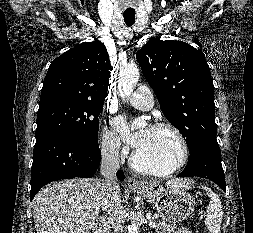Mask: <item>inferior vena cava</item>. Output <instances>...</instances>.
<instances>
[{
	"label": "inferior vena cava",
	"mask_w": 253,
	"mask_h": 233,
	"mask_svg": "<svg viewBox=\"0 0 253 233\" xmlns=\"http://www.w3.org/2000/svg\"><path fill=\"white\" fill-rule=\"evenodd\" d=\"M101 168L103 175L101 182V208L104 213L103 233H109L108 228L113 229V233H122L123 215L120 198V188L116 181V172L119 170V146L116 143H109L101 150Z\"/></svg>",
	"instance_id": "obj_1"
}]
</instances>
